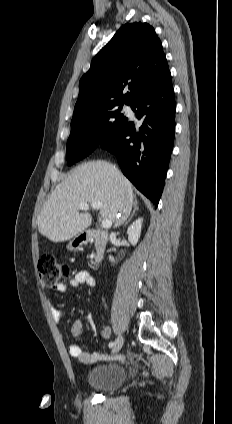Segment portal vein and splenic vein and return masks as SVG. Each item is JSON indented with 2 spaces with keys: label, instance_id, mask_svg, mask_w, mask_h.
Masks as SVG:
<instances>
[{
  "label": "portal vein and splenic vein",
  "instance_id": "portal-vein-and-splenic-vein-1",
  "mask_svg": "<svg viewBox=\"0 0 232 424\" xmlns=\"http://www.w3.org/2000/svg\"><path fill=\"white\" fill-rule=\"evenodd\" d=\"M92 208L94 209H100L102 207V202L100 201H93L91 204ZM80 210H87L89 209V204L84 202V203H80L79 207ZM101 226L104 229L110 228L112 226V221L109 219H103L101 222Z\"/></svg>",
  "mask_w": 232,
  "mask_h": 424
}]
</instances>
